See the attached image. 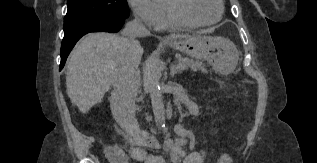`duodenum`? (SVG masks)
Segmentation results:
<instances>
[{"mask_svg":"<svg viewBox=\"0 0 317 163\" xmlns=\"http://www.w3.org/2000/svg\"><path fill=\"white\" fill-rule=\"evenodd\" d=\"M117 130L120 132L125 133V131L120 127L116 126ZM129 137L132 147H140V146H147V147H158L160 145V139L157 134L149 133L144 130L137 131L135 133L127 134ZM108 152L111 156L117 157L122 154V149L116 145H111L108 147Z\"/></svg>","mask_w":317,"mask_h":163,"instance_id":"obj_1","label":"duodenum"}]
</instances>
